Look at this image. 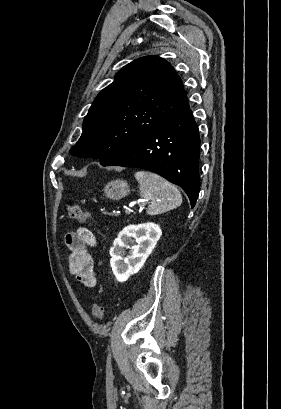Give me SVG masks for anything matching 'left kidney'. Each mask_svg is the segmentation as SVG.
<instances>
[{
    "label": "left kidney",
    "instance_id": "5707ae66",
    "mask_svg": "<svg viewBox=\"0 0 281 409\" xmlns=\"http://www.w3.org/2000/svg\"><path fill=\"white\" fill-rule=\"evenodd\" d=\"M161 235L162 231L155 223L128 225L120 231L110 249V265L117 281L123 283L140 271ZM124 249H130L127 257Z\"/></svg>",
    "mask_w": 281,
    "mask_h": 409
}]
</instances>
